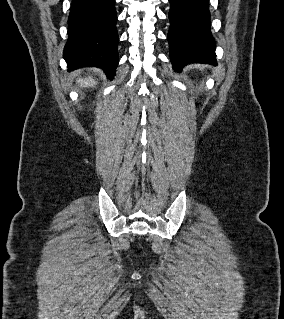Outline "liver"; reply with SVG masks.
I'll return each mask as SVG.
<instances>
[{
    "label": "liver",
    "mask_w": 284,
    "mask_h": 319,
    "mask_svg": "<svg viewBox=\"0 0 284 319\" xmlns=\"http://www.w3.org/2000/svg\"><path fill=\"white\" fill-rule=\"evenodd\" d=\"M77 82L81 87H93L97 84V82L92 77H86L85 79H78Z\"/></svg>",
    "instance_id": "liver-1"
}]
</instances>
